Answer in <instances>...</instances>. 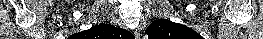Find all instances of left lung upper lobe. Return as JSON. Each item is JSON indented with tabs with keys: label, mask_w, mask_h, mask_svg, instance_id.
<instances>
[{
	"label": "left lung upper lobe",
	"mask_w": 263,
	"mask_h": 39,
	"mask_svg": "<svg viewBox=\"0 0 263 39\" xmlns=\"http://www.w3.org/2000/svg\"><path fill=\"white\" fill-rule=\"evenodd\" d=\"M148 39H203L194 30L170 20H155L145 32Z\"/></svg>",
	"instance_id": "obj_1"
}]
</instances>
